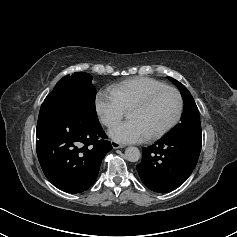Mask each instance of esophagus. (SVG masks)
<instances>
[{
  "mask_svg": "<svg viewBox=\"0 0 237 237\" xmlns=\"http://www.w3.org/2000/svg\"><path fill=\"white\" fill-rule=\"evenodd\" d=\"M111 145L114 149H119V148H123L124 145L123 144H120L119 142H116V141H112L111 142Z\"/></svg>",
  "mask_w": 237,
  "mask_h": 237,
  "instance_id": "obj_1",
  "label": "esophagus"
}]
</instances>
